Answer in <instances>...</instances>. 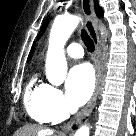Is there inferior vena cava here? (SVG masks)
Returning <instances> with one entry per match:
<instances>
[{
    "instance_id": "602c4592",
    "label": "inferior vena cava",
    "mask_w": 136,
    "mask_h": 136,
    "mask_svg": "<svg viewBox=\"0 0 136 136\" xmlns=\"http://www.w3.org/2000/svg\"><path fill=\"white\" fill-rule=\"evenodd\" d=\"M70 113H75L77 111V108L75 107H69Z\"/></svg>"
}]
</instances>
